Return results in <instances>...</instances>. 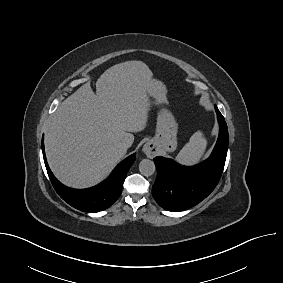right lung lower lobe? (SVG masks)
<instances>
[{"mask_svg":"<svg viewBox=\"0 0 283 283\" xmlns=\"http://www.w3.org/2000/svg\"><path fill=\"white\" fill-rule=\"evenodd\" d=\"M42 151L45 166L53 187L59 196L72 207L87 212H99L109 208L121 195L126 175L135 161L136 154H132L122 161L111 175L99 185L76 190L64 186L51 172L46 161L44 143L42 138Z\"/></svg>","mask_w":283,"mask_h":283,"instance_id":"obj_1","label":"right lung lower lobe"}]
</instances>
